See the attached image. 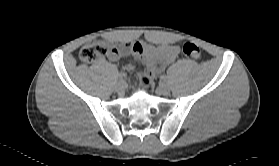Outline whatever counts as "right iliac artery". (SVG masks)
I'll list each match as a JSON object with an SVG mask.
<instances>
[{"label": "right iliac artery", "instance_id": "82829eb1", "mask_svg": "<svg viewBox=\"0 0 279 166\" xmlns=\"http://www.w3.org/2000/svg\"><path fill=\"white\" fill-rule=\"evenodd\" d=\"M125 78H126V73L120 72V73H119V79H120V80H124Z\"/></svg>", "mask_w": 279, "mask_h": 166}]
</instances>
